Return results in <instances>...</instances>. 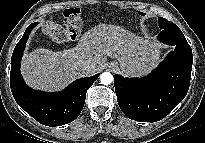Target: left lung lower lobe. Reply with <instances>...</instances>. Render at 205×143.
<instances>
[{
  "mask_svg": "<svg viewBox=\"0 0 205 143\" xmlns=\"http://www.w3.org/2000/svg\"><path fill=\"white\" fill-rule=\"evenodd\" d=\"M159 40L175 46L154 71L143 78L114 76L122 112L140 122H156L169 114L186 96L191 79L192 50L181 30L162 29Z\"/></svg>",
  "mask_w": 205,
  "mask_h": 143,
  "instance_id": "left-lung-lower-lobe-1",
  "label": "left lung lower lobe"
}]
</instances>
